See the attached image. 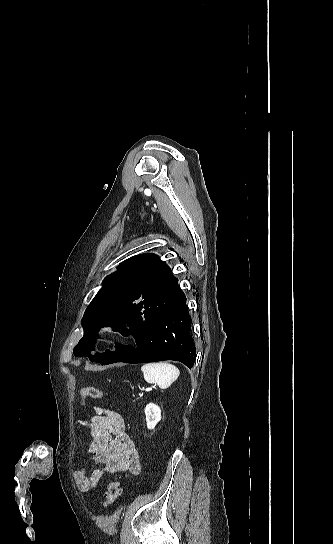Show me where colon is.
Returning a JSON list of instances; mask_svg holds the SVG:
<instances>
[{"label": "colon", "instance_id": "5ec220e1", "mask_svg": "<svg viewBox=\"0 0 333 544\" xmlns=\"http://www.w3.org/2000/svg\"><path fill=\"white\" fill-rule=\"evenodd\" d=\"M79 396L81 400H84L85 398H93L101 400L103 399V394L95 387L92 386H84L80 392ZM121 494V486L118 481H111L108 484L107 487V493H106V500L104 502V506L107 508L111 506L120 496Z\"/></svg>", "mask_w": 333, "mask_h": 544}]
</instances>
